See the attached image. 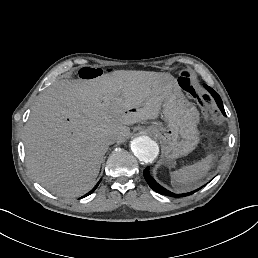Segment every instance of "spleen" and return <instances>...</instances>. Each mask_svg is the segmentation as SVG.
<instances>
[{
	"label": "spleen",
	"instance_id": "obj_1",
	"mask_svg": "<svg viewBox=\"0 0 258 258\" xmlns=\"http://www.w3.org/2000/svg\"><path fill=\"white\" fill-rule=\"evenodd\" d=\"M212 155H208L201 161L185 166L177 171L171 172V183L177 192H185L193 189L195 182L205 177L210 170ZM181 184L182 186H178Z\"/></svg>",
	"mask_w": 258,
	"mask_h": 258
}]
</instances>
